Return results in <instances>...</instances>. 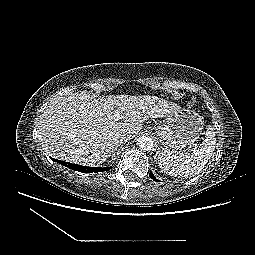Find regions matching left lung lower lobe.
Wrapping results in <instances>:
<instances>
[{
	"instance_id": "obj_1",
	"label": "left lung lower lobe",
	"mask_w": 255,
	"mask_h": 255,
	"mask_svg": "<svg viewBox=\"0 0 255 255\" xmlns=\"http://www.w3.org/2000/svg\"><path fill=\"white\" fill-rule=\"evenodd\" d=\"M149 176H150V178L153 179L154 181H159V180H157V179L155 178V176H154L151 172H150Z\"/></svg>"
}]
</instances>
